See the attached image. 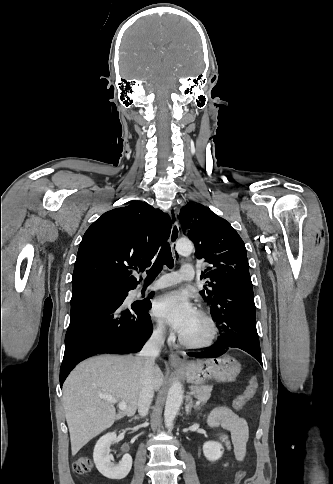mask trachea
<instances>
[{
    "instance_id": "3493384b",
    "label": "trachea",
    "mask_w": 333,
    "mask_h": 484,
    "mask_svg": "<svg viewBox=\"0 0 333 484\" xmlns=\"http://www.w3.org/2000/svg\"><path fill=\"white\" fill-rule=\"evenodd\" d=\"M173 262L174 260L172 257L170 245L169 243H165L157 256L156 261L147 271L146 280H154L162 271L164 265H166L168 268H172Z\"/></svg>"
}]
</instances>
